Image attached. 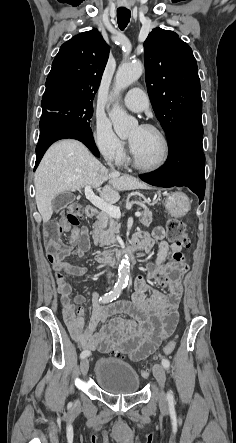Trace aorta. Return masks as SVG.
<instances>
[{
  "mask_svg": "<svg viewBox=\"0 0 236 443\" xmlns=\"http://www.w3.org/2000/svg\"><path fill=\"white\" fill-rule=\"evenodd\" d=\"M143 73L141 63H123L119 66L115 75V94H119L132 83L140 78ZM109 117L113 123L114 131L120 138H126L131 131L138 126V121L129 116L124 109L115 104L109 112ZM130 273V263L128 256L122 258L118 269V284L127 285Z\"/></svg>",
  "mask_w": 236,
  "mask_h": 443,
  "instance_id": "762f6f07",
  "label": "aorta"
}]
</instances>
